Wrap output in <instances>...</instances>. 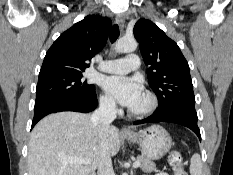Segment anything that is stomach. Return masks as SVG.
I'll return each mask as SVG.
<instances>
[{
	"label": "stomach",
	"instance_id": "obj_1",
	"mask_svg": "<svg viewBox=\"0 0 233 175\" xmlns=\"http://www.w3.org/2000/svg\"><path fill=\"white\" fill-rule=\"evenodd\" d=\"M124 138L137 143L142 154L150 160L161 159L173 144L169 133L159 125L149 126Z\"/></svg>",
	"mask_w": 233,
	"mask_h": 175
}]
</instances>
